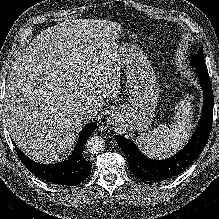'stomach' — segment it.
<instances>
[{
	"label": "stomach",
	"mask_w": 219,
	"mask_h": 219,
	"mask_svg": "<svg viewBox=\"0 0 219 219\" xmlns=\"http://www.w3.org/2000/svg\"><path fill=\"white\" fill-rule=\"evenodd\" d=\"M115 53L118 63L125 68L128 101L112 113L109 121L127 133L146 131L155 117L160 91L155 71L143 49L135 43L122 42Z\"/></svg>",
	"instance_id": "stomach-1"
}]
</instances>
